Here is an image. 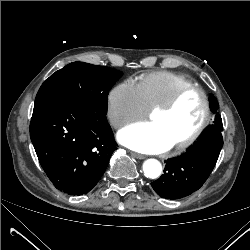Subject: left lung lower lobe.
I'll return each instance as SVG.
<instances>
[{
	"label": "left lung lower lobe",
	"instance_id": "0a47b994",
	"mask_svg": "<svg viewBox=\"0 0 250 250\" xmlns=\"http://www.w3.org/2000/svg\"><path fill=\"white\" fill-rule=\"evenodd\" d=\"M221 129L207 128L198 141L179 157L168 159L164 174L152 182L163 198L178 199L196 191L210 175L223 146Z\"/></svg>",
	"mask_w": 250,
	"mask_h": 250
}]
</instances>
